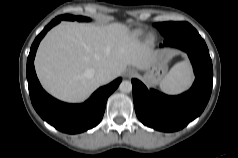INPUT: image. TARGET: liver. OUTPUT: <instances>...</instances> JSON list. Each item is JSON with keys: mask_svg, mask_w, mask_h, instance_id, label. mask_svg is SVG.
I'll return each mask as SVG.
<instances>
[{"mask_svg": "<svg viewBox=\"0 0 238 158\" xmlns=\"http://www.w3.org/2000/svg\"><path fill=\"white\" fill-rule=\"evenodd\" d=\"M154 56L152 48L140 43L122 23L65 22L40 43L35 68L50 94L64 101L80 102L100 86L95 79L97 70L108 69L111 81L128 65L143 70Z\"/></svg>", "mask_w": 238, "mask_h": 158, "instance_id": "liver-1", "label": "liver"}]
</instances>
